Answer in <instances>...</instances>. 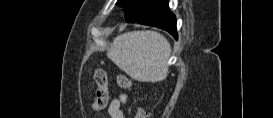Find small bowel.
Wrapping results in <instances>:
<instances>
[{"label": "small bowel", "mask_w": 273, "mask_h": 118, "mask_svg": "<svg viewBox=\"0 0 273 118\" xmlns=\"http://www.w3.org/2000/svg\"><path fill=\"white\" fill-rule=\"evenodd\" d=\"M126 101L124 95L120 96L117 99H114L109 105V113L112 118H122L123 113L121 110V105Z\"/></svg>", "instance_id": "small-bowel-1"}]
</instances>
